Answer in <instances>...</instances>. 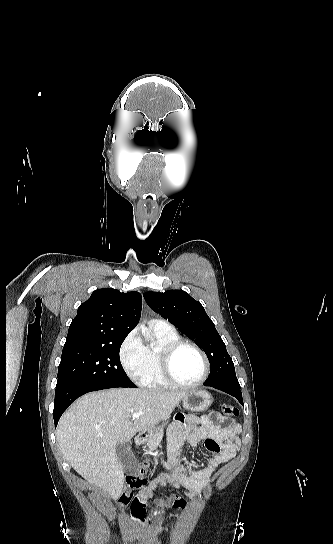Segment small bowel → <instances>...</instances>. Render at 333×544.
<instances>
[{
    "label": "small bowel",
    "instance_id": "c3829d8e",
    "mask_svg": "<svg viewBox=\"0 0 333 544\" xmlns=\"http://www.w3.org/2000/svg\"><path fill=\"white\" fill-rule=\"evenodd\" d=\"M238 434V426L217 412L200 418L194 415L177 418L168 432L170 472L156 477L138 493L131 505L132 517L143 524L147 501L154 490L166 483L174 488H184L190 497L202 491L211 482L218 467L235 457L239 449ZM201 441H204L206 450L211 453L206 459V466L201 469L181 467L179 457L184 444L188 443L191 447H195ZM156 506L154 518L160 517L165 508H185L187 501L180 496H170L156 500Z\"/></svg>",
    "mask_w": 333,
    "mask_h": 544
}]
</instances>
